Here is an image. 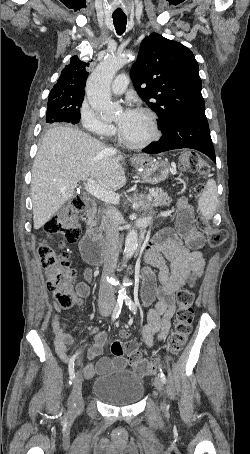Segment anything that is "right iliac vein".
Segmentation results:
<instances>
[{
	"instance_id": "63e3f726",
	"label": "right iliac vein",
	"mask_w": 250,
	"mask_h": 454,
	"mask_svg": "<svg viewBox=\"0 0 250 454\" xmlns=\"http://www.w3.org/2000/svg\"><path fill=\"white\" fill-rule=\"evenodd\" d=\"M100 313L102 316L106 317L110 313V309L104 308ZM68 407L71 414H76L82 411L84 407V401L82 397V376L79 371L77 372L73 382L72 393L68 401Z\"/></svg>"
}]
</instances>
